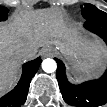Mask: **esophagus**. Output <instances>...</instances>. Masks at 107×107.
Here are the masks:
<instances>
[{"mask_svg":"<svg viewBox=\"0 0 107 107\" xmlns=\"http://www.w3.org/2000/svg\"><path fill=\"white\" fill-rule=\"evenodd\" d=\"M42 54L45 57H47V56H51L53 54V52H52V50L46 48V49L43 50Z\"/></svg>","mask_w":107,"mask_h":107,"instance_id":"1","label":"esophagus"}]
</instances>
